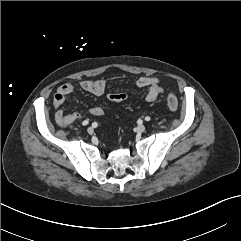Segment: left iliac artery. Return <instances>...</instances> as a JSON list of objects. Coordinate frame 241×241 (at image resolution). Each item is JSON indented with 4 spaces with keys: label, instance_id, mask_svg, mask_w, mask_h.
I'll list each match as a JSON object with an SVG mask.
<instances>
[{
    "label": "left iliac artery",
    "instance_id": "obj_1",
    "mask_svg": "<svg viewBox=\"0 0 241 241\" xmlns=\"http://www.w3.org/2000/svg\"><path fill=\"white\" fill-rule=\"evenodd\" d=\"M145 120H146V121H150L151 118H150L149 116H146V117H145Z\"/></svg>",
    "mask_w": 241,
    "mask_h": 241
}]
</instances>
